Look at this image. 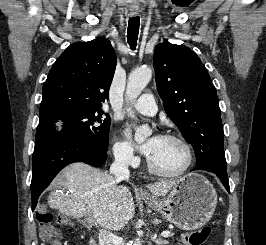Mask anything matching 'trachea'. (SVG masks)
I'll list each match as a JSON object with an SVG mask.
<instances>
[{
  "label": "trachea",
  "mask_w": 266,
  "mask_h": 245,
  "mask_svg": "<svg viewBox=\"0 0 266 245\" xmlns=\"http://www.w3.org/2000/svg\"><path fill=\"white\" fill-rule=\"evenodd\" d=\"M138 33H139V17L130 18L127 30V40L132 50L136 48Z\"/></svg>",
  "instance_id": "obj_1"
}]
</instances>
